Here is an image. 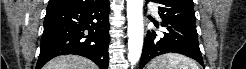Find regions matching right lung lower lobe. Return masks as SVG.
Returning a JSON list of instances; mask_svg holds the SVG:
<instances>
[{
    "instance_id": "1",
    "label": "right lung lower lobe",
    "mask_w": 246,
    "mask_h": 69,
    "mask_svg": "<svg viewBox=\"0 0 246 69\" xmlns=\"http://www.w3.org/2000/svg\"><path fill=\"white\" fill-rule=\"evenodd\" d=\"M109 0L87 6L47 8L36 69L53 57L77 54L108 68Z\"/></svg>"
}]
</instances>
